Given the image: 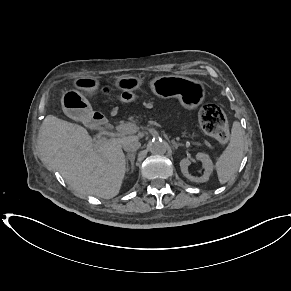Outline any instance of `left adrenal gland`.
<instances>
[{
  "mask_svg": "<svg viewBox=\"0 0 291 291\" xmlns=\"http://www.w3.org/2000/svg\"><path fill=\"white\" fill-rule=\"evenodd\" d=\"M172 144H173L175 149H177L179 146H182L181 143H177L175 140H172Z\"/></svg>",
  "mask_w": 291,
  "mask_h": 291,
  "instance_id": "1",
  "label": "left adrenal gland"
}]
</instances>
